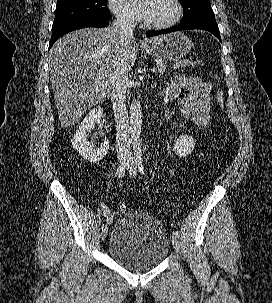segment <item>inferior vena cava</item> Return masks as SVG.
<instances>
[{"label": "inferior vena cava", "instance_id": "602c4592", "mask_svg": "<svg viewBox=\"0 0 272 303\" xmlns=\"http://www.w3.org/2000/svg\"><path fill=\"white\" fill-rule=\"evenodd\" d=\"M112 27L119 35L120 50H122L123 46L133 38L134 19L127 14L118 15L113 21ZM128 83V70L123 61L122 51H120L115 62L111 91V102L116 123V149L119 160H130L132 158L129 117L125 103Z\"/></svg>", "mask_w": 272, "mask_h": 303}]
</instances>
